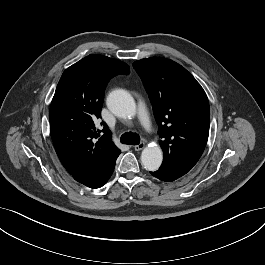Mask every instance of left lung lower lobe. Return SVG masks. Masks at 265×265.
I'll return each mask as SVG.
<instances>
[{
	"label": "left lung lower lobe",
	"instance_id": "0a47b994",
	"mask_svg": "<svg viewBox=\"0 0 265 265\" xmlns=\"http://www.w3.org/2000/svg\"><path fill=\"white\" fill-rule=\"evenodd\" d=\"M154 177L162 180V181H166V182H169V181H173L171 180L170 178H168L167 176H165L164 174H162L161 172L159 171H155V172H150Z\"/></svg>",
	"mask_w": 265,
	"mask_h": 265
}]
</instances>
